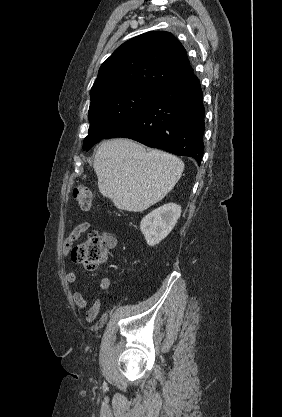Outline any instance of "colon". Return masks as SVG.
Returning a JSON list of instances; mask_svg holds the SVG:
<instances>
[{
    "instance_id": "colon-1",
    "label": "colon",
    "mask_w": 282,
    "mask_h": 417,
    "mask_svg": "<svg viewBox=\"0 0 282 417\" xmlns=\"http://www.w3.org/2000/svg\"><path fill=\"white\" fill-rule=\"evenodd\" d=\"M74 198L83 208L92 206V195L87 187L79 186L74 190ZM108 250L103 239L91 236L75 246L72 250V259L76 264H82L91 269H100L107 262Z\"/></svg>"
}]
</instances>
